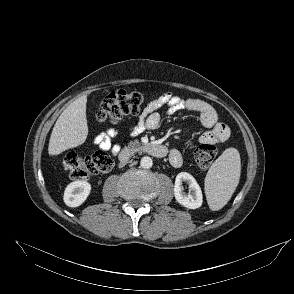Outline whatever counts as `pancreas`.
I'll return each instance as SVG.
<instances>
[{
    "label": "pancreas",
    "mask_w": 294,
    "mask_h": 294,
    "mask_svg": "<svg viewBox=\"0 0 294 294\" xmlns=\"http://www.w3.org/2000/svg\"><path fill=\"white\" fill-rule=\"evenodd\" d=\"M141 145V143L138 141V140H134V141H131L128 146L130 148H132L133 150L137 149L139 146Z\"/></svg>",
    "instance_id": "pancreas-1"
}]
</instances>
